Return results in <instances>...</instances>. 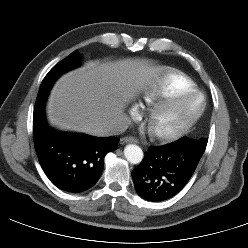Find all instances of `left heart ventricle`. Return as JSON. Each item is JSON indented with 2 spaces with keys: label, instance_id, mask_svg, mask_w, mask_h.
<instances>
[{
  "label": "left heart ventricle",
  "instance_id": "b2bd125f",
  "mask_svg": "<svg viewBox=\"0 0 248 248\" xmlns=\"http://www.w3.org/2000/svg\"><path fill=\"white\" fill-rule=\"evenodd\" d=\"M201 104L202 97L198 94L182 100L172 112L155 122L154 129L162 132L174 129L194 114Z\"/></svg>",
  "mask_w": 248,
  "mask_h": 248
}]
</instances>
